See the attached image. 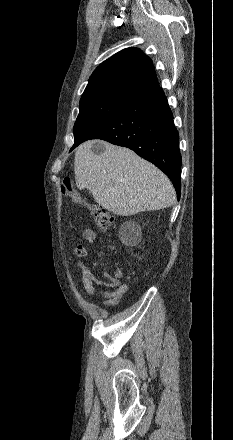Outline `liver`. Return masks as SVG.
Instances as JSON below:
<instances>
[{
    "instance_id": "6515ba94",
    "label": "liver",
    "mask_w": 233,
    "mask_h": 440,
    "mask_svg": "<svg viewBox=\"0 0 233 440\" xmlns=\"http://www.w3.org/2000/svg\"><path fill=\"white\" fill-rule=\"evenodd\" d=\"M100 143L105 150L95 154ZM74 171L78 189H88L104 209L120 216L171 207L175 190L157 167L125 147L104 141H87L75 153Z\"/></svg>"
}]
</instances>
